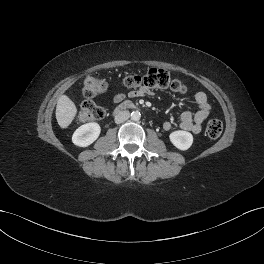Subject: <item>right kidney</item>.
I'll return each instance as SVG.
<instances>
[{"label": "right kidney", "mask_w": 264, "mask_h": 264, "mask_svg": "<svg viewBox=\"0 0 264 264\" xmlns=\"http://www.w3.org/2000/svg\"><path fill=\"white\" fill-rule=\"evenodd\" d=\"M101 132L100 125L95 122L80 126L72 136V142L80 147H87L99 137Z\"/></svg>", "instance_id": "obj_1"}]
</instances>
